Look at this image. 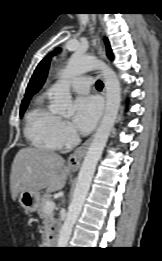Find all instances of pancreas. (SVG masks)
Instances as JSON below:
<instances>
[{
    "label": "pancreas",
    "instance_id": "obj_1",
    "mask_svg": "<svg viewBox=\"0 0 162 261\" xmlns=\"http://www.w3.org/2000/svg\"><path fill=\"white\" fill-rule=\"evenodd\" d=\"M48 201H51L50 196L44 195L41 198L38 209H37V212H38L40 218L43 219V229H44L43 234H42L43 244L50 242L49 238H50V236L53 235L52 228L57 222L54 218L53 213H46L44 211L45 204Z\"/></svg>",
    "mask_w": 162,
    "mask_h": 261
}]
</instances>
